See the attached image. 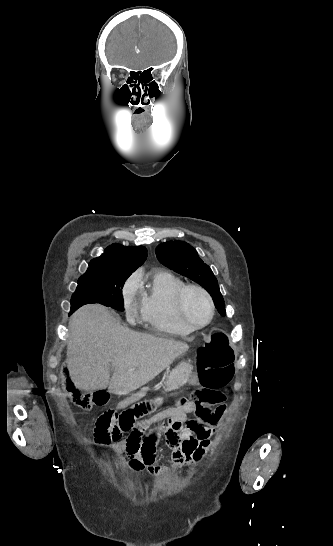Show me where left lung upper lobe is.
<instances>
[{
  "mask_svg": "<svg viewBox=\"0 0 333 546\" xmlns=\"http://www.w3.org/2000/svg\"><path fill=\"white\" fill-rule=\"evenodd\" d=\"M158 260L171 270L201 285L212 296L215 307L225 316V304L218 281L211 268L198 256L196 250L183 241H169L156 248Z\"/></svg>",
  "mask_w": 333,
  "mask_h": 546,
  "instance_id": "5c2ea615",
  "label": "left lung upper lobe"
}]
</instances>
